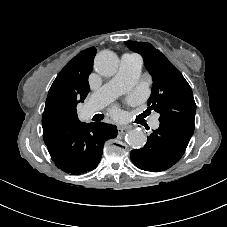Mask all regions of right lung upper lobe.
Returning a JSON list of instances; mask_svg holds the SVG:
<instances>
[{
	"mask_svg": "<svg viewBox=\"0 0 227 227\" xmlns=\"http://www.w3.org/2000/svg\"><path fill=\"white\" fill-rule=\"evenodd\" d=\"M96 54L94 47L81 51L61 70L49 90L42 117L43 139L45 144L63 135L81 124L79 119L66 129L53 127L48 120V113L57 103L77 105L83 102L90 91L88 76L93 69Z\"/></svg>",
	"mask_w": 227,
	"mask_h": 227,
	"instance_id": "1",
	"label": "right lung upper lobe"
}]
</instances>
